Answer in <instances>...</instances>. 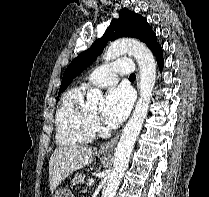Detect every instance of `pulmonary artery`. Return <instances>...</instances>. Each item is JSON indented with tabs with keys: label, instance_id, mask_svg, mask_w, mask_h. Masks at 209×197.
Returning <instances> with one entry per match:
<instances>
[{
	"label": "pulmonary artery",
	"instance_id": "pulmonary-artery-1",
	"mask_svg": "<svg viewBox=\"0 0 209 197\" xmlns=\"http://www.w3.org/2000/svg\"><path fill=\"white\" fill-rule=\"evenodd\" d=\"M134 67L130 59L122 58L114 62H107L93 70L83 83L84 87L95 85L98 87H109L117 83L118 74H129Z\"/></svg>",
	"mask_w": 209,
	"mask_h": 197
}]
</instances>
